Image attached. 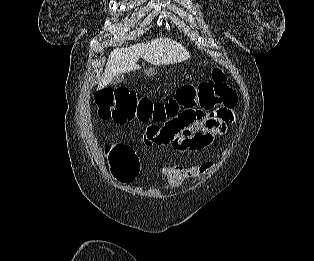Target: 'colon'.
I'll list each match as a JSON object with an SVG mask.
<instances>
[{
  "mask_svg": "<svg viewBox=\"0 0 314 261\" xmlns=\"http://www.w3.org/2000/svg\"><path fill=\"white\" fill-rule=\"evenodd\" d=\"M235 98L228 78L220 67L212 70V80L197 85L186 83L167 102H156L126 87L103 88L96 93L95 101L100 119L116 123L136 121L149 124L153 129L164 120H171L182 109L212 110L228 104ZM107 156L111 172L121 182L132 181L139 172V160L134 150L126 144L110 145Z\"/></svg>",
  "mask_w": 314,
  "mask_h": 261,
  "instance_id": "1",
  "label": "colon"
}]
</instances>
